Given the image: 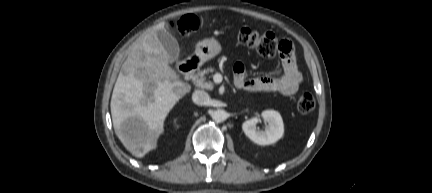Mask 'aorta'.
<instances>
[{"mask_svg": "<svg viewBox=\"0 0 432 193\" xmlns=\"http://www.w3.org/2000/svg\"><path fill=\"white\" fill-rule=\"evenodd\" d=\"M211 117L216 122H223L227 119V112L222 109H217L212 112Z\"/></svg>", "mask_w": 432, "mask_h": 193, "instance_id": "1", "label": "aorta"}]
</instances>
